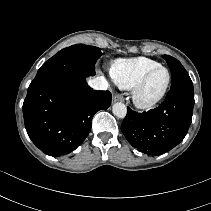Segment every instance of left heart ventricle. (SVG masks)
<instances>
[{
    "mask_svg": "<svg viewBox=\"0 0 211 211\" xmlns=\"http://www.w3.org/2000/svg\"><path fill=\"white\" fill-rule=\"evenodd\" d=\"M167 80V73L165 70L156 71L148 80L145 90L144 96L146 98H152L156 96L164 87Z\"/></svg>",
    "mask_w": 211,
    "mask_h": 211,
    "instance_id": "left-heart-ventricle-1",
    "label": "left heart ventricle"
}]
</instances>
